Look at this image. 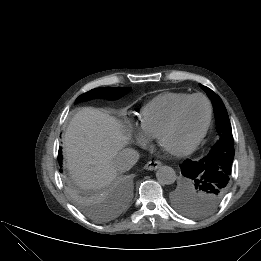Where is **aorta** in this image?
Segmentation results:
<instances>
[{"instance_id":"aorta-1","label":"aorta","mask_w":261,"mask_h":261,"mask_svg":"<svg viewBox=\"0 0 261 261\" xmlns=\"http://www.w3.org/2000/svg\"><path fill=\"white\" fill-rule=\"evenodd\" d=\"M156 177L159 183L170 185L176 181V172L172 167L161 166L156 172Z\"/></svg>"}]
</instances>
